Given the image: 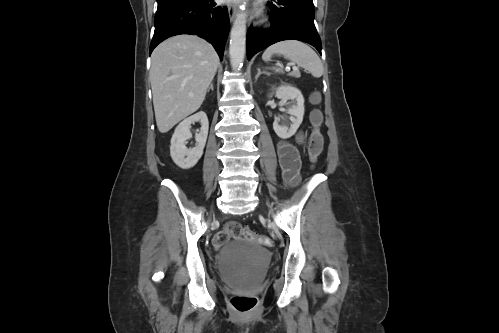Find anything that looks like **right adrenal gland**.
<instances>
[{"mask_svg": "<svg viewBox=\"0 0 499 333\" xmlns=\"http://www.w3.org/2000/svg\"><path fill=\"white\" fill-rule=\"evenodd\" d=\"M210 89H211L212 91L214 90V88H213V83H211V84H210V86H209V88H208V90H207V91L209 92V91H210Z\"/></svg>", "mask_w": 499, "mask_h": 333, "instance_id": "2a0ac1e0", "label": "right adrenal gland"}]
</instances>
